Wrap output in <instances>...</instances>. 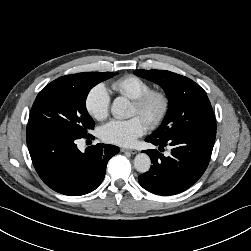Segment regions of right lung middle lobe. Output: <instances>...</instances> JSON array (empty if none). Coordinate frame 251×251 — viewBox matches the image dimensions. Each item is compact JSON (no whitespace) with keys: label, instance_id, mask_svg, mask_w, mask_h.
Wrapping results in <instances>:
<instances>
[{"label":"right lung middle lobe","instance_id":"1","mask_svg":"<svg viewBox=\"0 0 251 251\" xmlns=\"http://www.w3.org/2000/svg\"><path fill=\"white\" fill-rule=\"evenodd\" d=\"M116 75L110 72H85L72 81H53L43 88L32 106L28 126L46 129L75 138L87 137L94 121L86 110L89 91Z\"/></svg>","mask_w":251,"mask_h":251}]
</instances>
